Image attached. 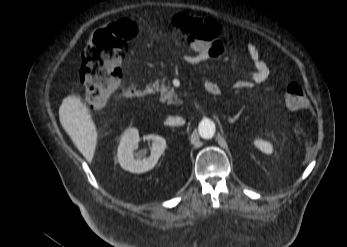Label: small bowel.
Segmentation results:
<instances>
[{
    "mask_svg": "<svg viewBox=\"0 0 347 247\" xmlns=\"http://www.w3.org/2000/svg\"><path fill=\"white\" fill-rule=\"evenodd\" d=\"M226 51V44L222 39H216L211 42L205 49L194 50L192 54H185L182 59L190 65H199L204 62L219 59ZM247 54L252 61L255 71L249 79H239L233 83L236 89L252 88L261 84L269 77L270 70L267 63L262 59L259 48L254 43L247 45ZM206 90L213 95L220 93L219 85L211 80L205 81Z\"/></svg>",
    "mask_w": 347,
    "mask_h": 247,
    "instance_id": "1",
    "label": "small bowel"
}]
</instances>
